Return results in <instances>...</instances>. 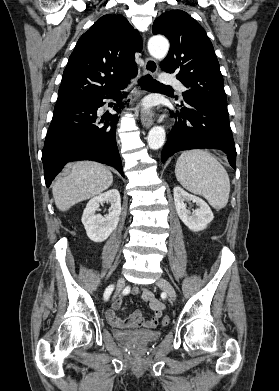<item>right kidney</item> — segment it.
I'll return each instance as SVG.
<instances>
[{
	"label": "right kidney",
	"instance_id": "right-kidney-1",
	"mask_svg": "<svg viewBox=\"0 0 279 391\" xmlns=\"http://www.w3.org/2000/svg\"><path fill=\"white\" fill-rule=\"evenodd\" d=\"M109 202L111 207L105 217L95 214L99 211L100 205ZM121 214V198L117 189L108 190L98 196L93 197L87 203L82 215V223L87 236L94 242L106 240L116 229Z\"/></svg>",
	"mask_w": 279,
	"mask_h": 391
}]
</instances>
